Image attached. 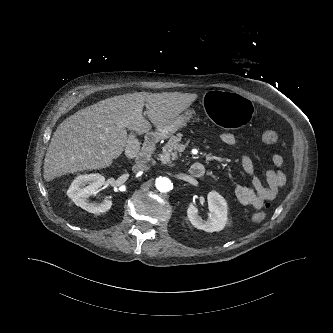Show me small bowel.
Wrapping results in <instances>:
<instances>
[{
  "instance_id": "small-bowel-1",
  "label": "small bowel",
  "mask_w": 333,
  "mask_h": 333,
  "mask_svg": "<svg viewBox=\"0 0 333 333\" xmlns=\"http://www.w3.org/2000/svg\"><path fill=\"white\" fill-rule=\"evenodd\" d=\"M220 140L225 145H236V138L231 132L222 133ZM240 161L244 173L250 177L251 186H237L234 195L241 204L260 209L267 201L273 200L285 184L286 177L281 169L284 164L283 158L280 155L272 157L275 169L267 172L266 185L255 175L253 161L247 154L241 153Z\"/></svg>"
}]
</instances>
